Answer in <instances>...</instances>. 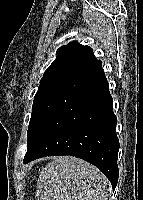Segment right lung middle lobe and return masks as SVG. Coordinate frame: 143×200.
Instances as JSON below:
<instances>
[{
  "label": "right lung middle lobe",
  "mask_w": 143,
  "mask_h": 200,
  "mask_svg": "<svg viewBox=\"0 0 143 200\" xmlns=\"http://www.w3.org/2000/svg\"><path fill=\"white\" fill-rule=\"evenodd\" d=\"M65 78L54 77L42 79L40 81V86L38 91L34 97L33 106H32V114L30 122L35 115L37 109L40 107L42 102L47 98V96L51 93V91L57 87ZM30 124V123H29Z\"/></svg>",
  "instance_id": "dd1d6c3e"
}]
</instances>
